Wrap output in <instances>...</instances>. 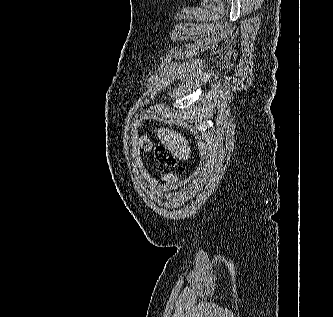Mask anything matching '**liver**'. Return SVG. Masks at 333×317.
Returning a JSON list of instances; mask_svg holds the SVG:
<instances>
[{
  "mask_svg": "<svg viewBox=\"0 0 333 317\" xmlns=\"http://www.w3.org/2000/svg\"><path fill=\"white\" fill-rule=\"evenodd\" d=\"M156 133L164 147L179 160H187L190 157V146L181 133L164 127L158 128Z\"/></svg>",
  "mask_w": 333,
  "mask_h": 317,
  "instance_id": "liver-1",
  "label": "liver"
}]
</instances>
